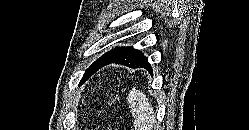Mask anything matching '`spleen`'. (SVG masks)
I'll return each mask as SVG.
<instances>
[{"mask_svg":"<svg viewBox=\"0 0 249 130\" xmlns=\"http://www.w3.org/2000/svg\"><path fill=\"white\" fill-rule=\"evenodd\" d=\"M127 100L130 111L135 118V130H151L155 123V114L146 95L142 91L133 88Z\"/></svg>","mask_w":249,"mask_h":130,"instance_id":"3e777b00","label":"spleen"}]
</instances>
